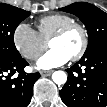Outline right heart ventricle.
I'll list each match as a JSON object with an SVG mask.
<instances>
[{
  "mask_svg": "<svg viewBox=\"0 0 107 107\" xmlns=\"http://www.w3.org/2000/svg\"><path fill=\"white\" fill-rule=\"evenodd\" d=\"M74 21V19L62 13L52 14L42 17L37 22V33L40 38L46 43L50 40L52 35L67 23Z\"/></svg>",
  "mask_w": 107,
  "mask_h": 107,
  "instance_id": "obj_1",
  "label": "right heart ventricle"
}]
</instances>
